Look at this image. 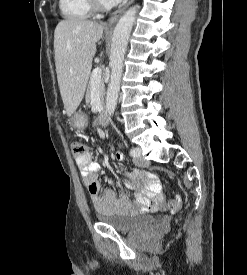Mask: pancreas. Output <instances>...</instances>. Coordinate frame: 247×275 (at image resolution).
<instances>
[{"label":"pancreas","instance_id":"cf45deb5","mask_svg":"<svg viewBox=\"0 0 247 275\" xmlns=\"http://www.w3.org/2000/svg\"><path fill=\"white\" fill-rule=\"evenodd\" d=\"M92 87H93V83L90 78L89 85H88L87 91H86V96H85V100L87 103H90V101H91ZM98 89H99V96H100L101 103H103L104 96H105V86H104V83L102 80H100V82L98 84Z\"/></svg>","mask_w":247,"mask_h":275}]
</instances>
